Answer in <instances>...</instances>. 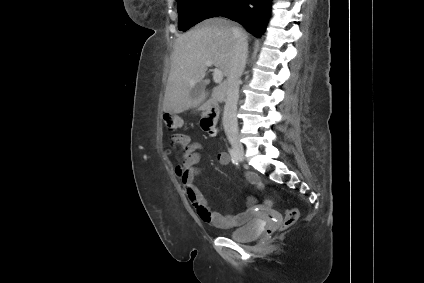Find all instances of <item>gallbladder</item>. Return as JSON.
<instances>
[{"label":"gallbladder","mask_w":424,"mask_h":283,"mask_svg":"<svg viewBox=\"0 0 424 283\" xmlns=\"http://www.w3.org/2000/svg\"><path fill=\"white\" fill-rule=\"evenodd\" d=\"M203 91H204V83L200 82L193 89H191L190 95L192 98H197L203 93Z\"/></svg>","instance_id":"1"}]
</instances>
